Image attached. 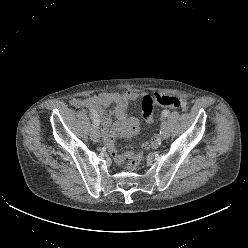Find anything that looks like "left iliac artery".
Listing matches in <instances>:
<instances>
[{
    "label": "left iliac artery",
    "mask_w": 248,
    "mask_h": 248,
    "mask_svg": "<svg viewBox=\"0 0 248 248\" xmlns=\"http://www.w3.org/2000/svg\"><path fill=\"white\" fill-rule=\"evenodd\" d=\"M169 114H170V111H169V110H163V111H162V115H163L164 117H167ZM161 133H162V132H161Z\"/></svg>",
    "instance_id": "obj_1"
}]
</instances>
